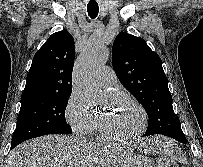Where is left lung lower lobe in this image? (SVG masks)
Wrapping results in <instances>:
<instances>
[{
  "instance_id": "left-lung-lower-lobe-1",
  "label": "left lung lower lobe",
  "mask_w": 203,
  "mask_h": 167,
  "mask_svg": "<svg viewBox=\"0 0 203 167\" xmlns=\"http://www.w3.org/2000/svg\"><path fill=\"white\" fill-rule=\"evenodd\" d=\"M168 137H171V138L177 140L178 142L187 143L186 137H184L182 134H171Z\"/></svg>"
}]
</instances>
